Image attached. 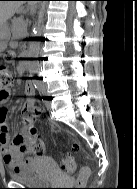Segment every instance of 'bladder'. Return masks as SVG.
I'll list each match as a JSON object with an SVG mask.
<instances>
[{"mask_svg": "<svg viewBox=\"0 0 137 189\" xmlns=\"http://www.w3.org/2000/svg\"><path fill=\"white\" fill-rule=\"evenodd\" d=\"M59 174L56 161L49 156H40L36 159L35 164L19 168L10 172L13 181L26 185L42 186L48 184Z\"/></svg>", "mask_w": 137, "mask_h": 189, "instance_id": "1", "label": "bladder"}]
</instances>
